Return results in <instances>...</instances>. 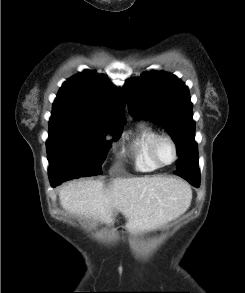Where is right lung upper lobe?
<instances>
[{
	"label": "right lung upper lobe",
	"mask_w": 245,
	"mask_h": 293,
	"mask_svg": "<svg viewBox=\"0 0 245 293\" xmlns=\"http://www.w3.org/2000/svg\"><path fill=\"white\" fill-rule=\"evenodd\" d=\"M125 99L107 77L86 70L66 81L53 103L50 121L113 129L125 124Z\"/></svg>",
	"instance_id": "obj_1"
}]
</instances>
